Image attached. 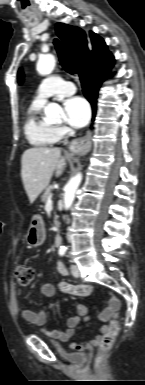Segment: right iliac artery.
<instances>
[{
  "label": "right iliac artery",
  "instance_id": "82829eb1",
  "mask_svg": "<svg viewBox=\"0 0 145 385\" xmlns=\"http://www.w3.org/2000/svg\"><path fill=\"white\" fill-rule=\"evenodd\" d=\"M59 254H60L61 256H64V255H65V250H59Z\"/></svg>",
  "mask_w": 145,
  "mask_h": 385
}]
</instances>
